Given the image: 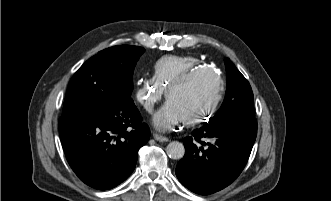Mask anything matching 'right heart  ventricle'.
I'll return each mask as SVG.
<instances>
[{"instance_id": "1", "label": "right heart ventricle", "mask_w": 331, "mask_h": 201, "mask_svg": "<svg viewBox=\"0 0 331 201\" xmlns=\"http://www.w3.org/2000/svg\"><path fill=\"white\" fill-rule=\"evenodd\" d=\"M203 66L199 59L192 56H165L155 63L152 77L168 89L182 74Z\"/></svg>"}]
</instances>
